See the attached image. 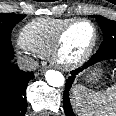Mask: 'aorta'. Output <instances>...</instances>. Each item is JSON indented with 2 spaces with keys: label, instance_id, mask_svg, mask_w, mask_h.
I'll return each mask as SVG.
<instances>
[{
  "label": "aorta",
  "instance_id": "1",
  "mask_svg": "<svg viewBox=\"0 0 116 116\" xmlns=\"http://www.w3.org/2000/svg\"><path fill=\"white\" fill-rule=\"evenodd\" d=\"M47 83L53 87H62L65 83L64 76L59 71L48 70L45 73Z\"/></svg>",
  "mask_w": 116,
  "mask_h": 116
}]
</instances>
